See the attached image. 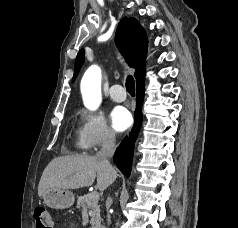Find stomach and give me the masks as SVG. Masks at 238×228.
I'll return each mask as SVG.
<instances>
[{"mask_svg": "<svg viewBox=\"0 0 238 228\" xmlns=\"http://www.w3.org/2000/svg\"><path fill=\"white\" fill-rule=\"evenodd\" d=\"M44 203L54 209L69 208L74 203V194L71 191L50 188L43 195Z\"/></svg>", "mask_w": 238, "mask_h": 228, "instance_id": "obj_1", "label": "stomach"}]
</instances>
